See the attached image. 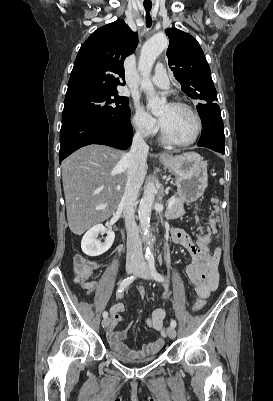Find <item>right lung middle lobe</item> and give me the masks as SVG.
Listing matches in <instances>:
<instances>
[{"instance_id": "obj_1", "label": "right lung middle lobe", "mask_w": 273, "mask_h": 401, "mask_svg": "<svg viewBox=\"0 0 273 401\" xmlns=\"http://www.w3.org/2000/svg\"><path fill=\"white\" fill-rule=\"evenodd\" d=\"M79 118L131 126L128 98L117 91H86L66 95L62 123Z\"/></svg>"}]
</instances>
